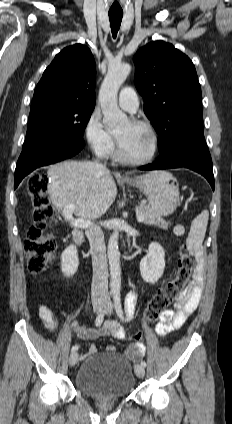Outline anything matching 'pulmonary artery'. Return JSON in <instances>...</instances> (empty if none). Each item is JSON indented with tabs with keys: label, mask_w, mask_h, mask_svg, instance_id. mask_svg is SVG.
I'll return each instance as SVG.
<instances>
[{
	"label": "pulmonary artery",
	"mask_w": 232,
	"mask_h": 424,
	"mask_svg": "<svg viewBox=\"0 0 232 424\" xmlns=\"http://www.w3.org/2000/svg\"><path fill=\"white\" fill-rule=\"evenodd\" d=\"M119 106L131 113H134L139 107V98L132 87L123 88L118 96Z\"/></svg>",
	"instance_id": "e3ab8cb5"
}]
</instances>
